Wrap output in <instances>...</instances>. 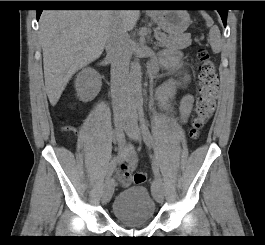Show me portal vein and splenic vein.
<instances>
[{
    "label": "portal vein and splenic vein",
    "mask_w": 265,
    "mask_h": 245,
    "mask_svg": "<svg viewBox=\"0 0 265 245\" xmlns=\"http://www.w3.org/2000/svg\"><path fill=\"white\" fill-rule=\"evenodd\" d=\"M158 41L159 42H164L165 40L160 37V38H158Z\"/></svg>",
    "instance_id": "18ae733b"
}]
</instances>
